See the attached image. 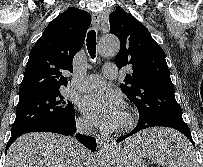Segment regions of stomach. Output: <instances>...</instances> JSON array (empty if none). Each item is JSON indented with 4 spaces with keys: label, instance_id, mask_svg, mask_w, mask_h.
<instances>
[{
    "label": "stomach",
    "instance_id": "obj_1",
    "mask_svg": "<svg viewBox=\"0 0 203 167\" xmlns=\"http://www.w3.org/2000/svg\"><path fill=\"white\" fill-rule=\"evenodd\" d=\"M153 130L143 132L141 137L145 138L151 133L156 134L160 131H164L155 129L156 131L153 132ZM150 137L143 140L142 142L148 141ZM113 157L117 167H146L142 161V156L138 153V147H136V144L133 143H126L124 149L115 152Z\"/></svg>",
    "mask_w": 203,
    "mask_h": 167
}]
</instances>
